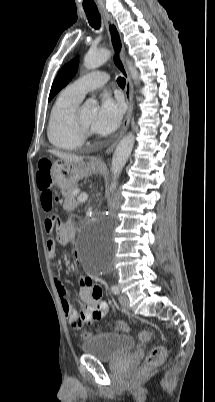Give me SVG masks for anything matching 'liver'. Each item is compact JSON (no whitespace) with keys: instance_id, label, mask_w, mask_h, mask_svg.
I'll list each match as a JSON object with an SVG mask.
<instances>
[{"instance_id":"6515ba94","label":"liver","mask_w":215,"mask_h":402,"mask_svg":"<svg viewBox=\"0 0 215 402\" xmlns=\"http://www.w3.org/2000/svg\"><path fill=\"white\" fill-rule=\"evenodd\" d=\"M52 154L55 156L59 157L63 161L67 162H79L83 160V157H79L77 155H72V154H67V153H62L56 150H50Z\"/></svg>"}]
</instances>
